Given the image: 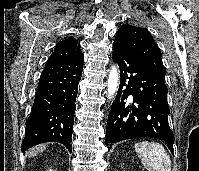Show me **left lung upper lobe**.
<instances>
[{
    "label": "left lung upper lobe",
    "instance_id": "5c2ea615",
    "mask_svg": "<svg viewBox=\"0 0 199 171\" xmlns=\"http://www.w3.org/2000/svg\"><path fill=\"white\" fill-rule=\"evenodd\" d=\"M114 43L122 46L161 74H166L160 50L146 29L125 24L117 31Z\"/></svg>",
    "mask_w": 199,
    "mask_h": 171
}]
</instances>
